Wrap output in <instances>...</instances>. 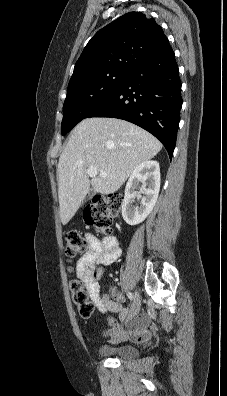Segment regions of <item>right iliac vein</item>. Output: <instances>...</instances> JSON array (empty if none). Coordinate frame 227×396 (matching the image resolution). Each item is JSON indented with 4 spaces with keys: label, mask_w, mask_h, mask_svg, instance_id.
I'll return each mask as SVG.
<instances>
[{
    "label": "right iliac vein",
    "mask_w": 227,
    "mask_h": 396,
    "mask_svg": "<svg viewBox=\"0 0 227 396\" xmlns=\"http://www.w3.org/2000/svg\"><path fill=\"white\" fill-rule=\"evenodd\" d=\"M140 307H141V298H140L139 293L136 291L134 294V300H133L131 310H130L131 318L136 316L139 313Z\"/></svg>",
    "instance_id": "63e3f726"
}]
</instances>
